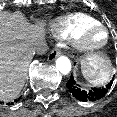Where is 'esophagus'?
<instances>
[{"label":"esophagus","mask_w":117,"mask_h":117,"mask_svg":"<svg viewBox=\"0 0 117 117\" xmlns=\"http://www.w3.org/2000/svg\"><path fill=\"white\" fill-rule=\"evenodd\" d=\"M61 55V51L59 50V49H57V48H55V49H53L51 52H50V54L48 55V59L50 60V61H53V60H55L58 56H60Z\"/></svg>","instance_id":"34e87169"}]
</instances>
